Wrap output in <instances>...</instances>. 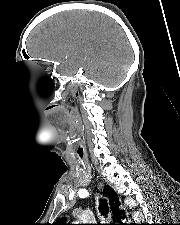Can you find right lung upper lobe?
Segmentation results:
<instances>
[{
  "mask_svg": "<svg viewBox=\"0 0 180 225\" xmlns=\"http://www.w3.org/2000/svg\"><path fill=\"white\" fill-rule=\"evenodd\" d=\"M104 193L106 194L109 200L113 221L119 223L113 225H126L122 224L120 221V215L122 214V212L119 211V199L117 194L109 186L105 187ZM53 225H68V224H64V219H59Z\"/></svg>",
  "mask_w": 180,
  "mask_h": 225,
  "instance_id": "right-lung-upper-lobe-1",
  "label": "right lung upper lobe"
}]
</instances>
